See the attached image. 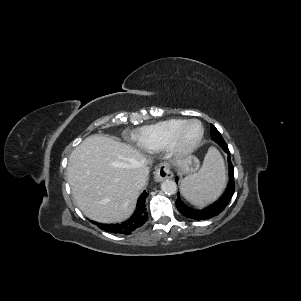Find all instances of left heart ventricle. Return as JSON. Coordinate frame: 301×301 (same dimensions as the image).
<instances>
[{"instance_id": "b2bd125f", "label": "left heart ventricle", "mask_w": 301, "mask_h": 301, "mask_svg": "<svg viewBox=\"0 0 301 301\" xmlns=\"http://www.w3.org/2000/svg\"><path fill=\"white\" fill-rule=\"evenodd\" d=\"M200 132H201V128L198 124L190 125L184 134L183 137L184 143L191 144L192 142H194L200 135Z\"/></svg>"}]
</instances>
